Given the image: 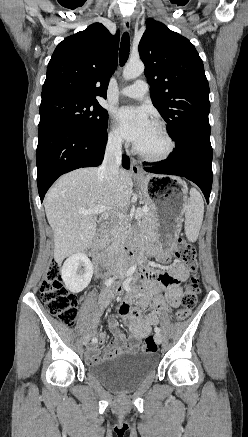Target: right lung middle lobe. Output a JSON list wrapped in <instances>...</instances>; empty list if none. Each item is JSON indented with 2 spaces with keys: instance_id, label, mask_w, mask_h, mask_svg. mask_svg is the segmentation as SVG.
I'll list each match as a JSON object with an SVG mask.
<instances>
[{
  "instance_id": "dd1d6c3e",
  "label": "right lung middle lobe",
  "mask_w": 248,
  "mask_h": 437,
  "mask_svg": "<svg viewBox=\"0 0 248 437\" xmlns=\"http://www.w3.org/2000/svg\"><path fill=\"white\" fill-rule=\"evenodd\" d=\"M65 123L84 132L105 133L108 112L99 103L65 94L42 97L39 126Z\"/></svg>"
}]
</instances>
